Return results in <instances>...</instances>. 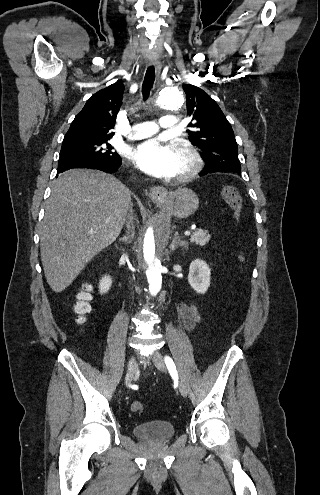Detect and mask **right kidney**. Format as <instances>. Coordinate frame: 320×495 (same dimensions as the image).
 <instances>
[{
    "label": "right kidney",
    "mask_w": 320,
    "mask_h": 495,
    "mask_svg": "<svg viewBox=\"0 0 320 495\" xmlns=\"http://www.w3.org/2000/svg\"><path fill=\"white\" fill-rule=\"evenodd\" d=\"M111 285H112V279L111 277L108 275L104 276L101 281H100V284H99V291L101 294H105L109 291V289L111 288Z\"/></svg>",
    "instance_id": "ca27d5eb"
}]
</instances>
